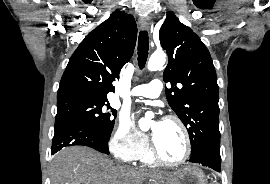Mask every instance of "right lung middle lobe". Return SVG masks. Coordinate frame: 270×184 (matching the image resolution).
Listing matches in <instances>:
<instances>
[{
  "mask_svg": "<svg viewBox=\"0 0 270 184\" xmlns=\"http://www.w3.org/2000/svg\"><path fill=\"white\" fill-rule=\"evenodd\" d=\"M106 102L108 100L78 95L57 98L55 123H80L110 138L117 111Z\"/></svg>",
  "mask_w": 270,
  "mask_h": 184,
  "instance_id": "dd1d6c3e",
  "label": "right lung middle lobe"
}]
</instances>
